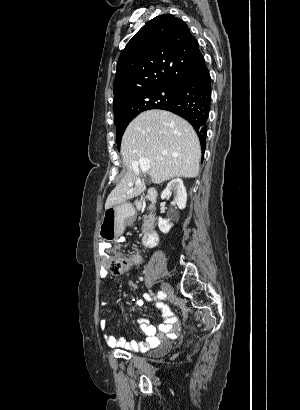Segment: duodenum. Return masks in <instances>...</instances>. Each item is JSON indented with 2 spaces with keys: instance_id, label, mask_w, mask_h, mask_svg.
Returning a JSON list of instances; mask_svg holds the SVG:
<instances>
[{
  "instance_id": "1",
  "label": "duodenum",
  "mask_w": 300,
  "mask_h": 410,
  "mask_svg": "<svg viewBox=\"0 0 300 410\" xmlns=\"http://www.w3.org/2000/svg\"><path fill=\"white\" fill-rule=\"evenodd\" d=\"M148 198L154 203L158 198V192L156 190L149 191ZM158 240V232L155 229L149 228L143 235L142 244L147 248H153L158 244Z\"/></svg>"
}]
</instances>
